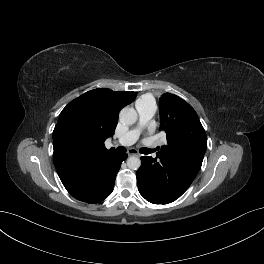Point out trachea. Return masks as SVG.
Instances as JSON below:
<instances>
[{
    "label": "trachea",
    "mask_w": 264,
    "mask_h": 264,
    "mask_svg": "<svg viewBox=\"0 0 264 264\" xmlns=\"http://www.w3.org/2000/svg\"><path fill=\"white\" fill-rule=\"evenodd\" d=\"M117 151H119L121 153H124V152H126V148L120 146V147L117 148ZM140 152L143 153V154H150L151 152H153V150L149 149V148H142L140 150Z\"/></svg>",
    "instance_id": "1"
}]
</instances>
